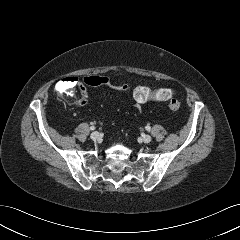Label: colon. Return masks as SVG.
Here are the masks:
<instances>
[{
	"label": "colon",
	"instance_id": "obj_1",
	"mask_svg": "<svg viewBox=\"0 0 240 240\" xmlns=\"http://www.w3.org/2000/svg\"><path fill=\"white\" fill-rule=\"evenodd\" d=\"M86 86H111L120 91H127L128 86L110 80L107 76H87L83 79ZM76 80L74 78L63 79L58 84V90L63 93H69L75 86ZM83 97V94H82ZM133 98L135 102L142 104L146 102H167L170 110L175 111L181 107V101L174 97V93L170 88L151 89L147 86H137L133 90Z\"/></svg>",
	"mask_w": 240,
	"mask_h": 240
}]
</instances>
